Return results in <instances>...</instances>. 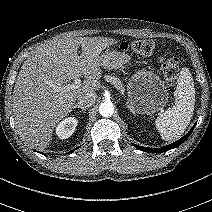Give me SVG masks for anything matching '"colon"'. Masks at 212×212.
I'll return each instance as SVG.
<instances>
[{
  "label": "colon",
  "instance_id": "5ec220e1",
  "mask_svg": "<svg viewBox=\"0 0 212 212\" xmlns=\"http://www.w3.org/2000/svg\"><path fill=\"white\" fill-rule=\"evenodd\" d=\"M123 50H132L147 56H157L161 64L164 78L169 83H174L179 74V63L177 58L171 56L169 52H160L156 44L150 40H138L131 43H123Z\"/></svg>",
  "mask_w": 212,
  "mask_h": 212
}]
</instances>
